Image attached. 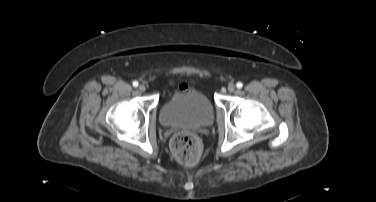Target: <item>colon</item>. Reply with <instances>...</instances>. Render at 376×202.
Instances as JSON below:
<instances>
[{
  "mask_svg": "<svg viewBox=\"0 0 376 202\" xmlns=\"http://www.w3.org/2000/svg\"><path fill=\"white\" fill-rule=\"evenodd\" d=\"M170 149L178 162L193 164L202 156L204 145L198 135L190 132H178L171 138Z\"/></svg>",
  "mask_w": 376,
  "mask_h": 202,
  "instance_id": "5ec220e1",
  "label": "colon"
}]
</instances>
